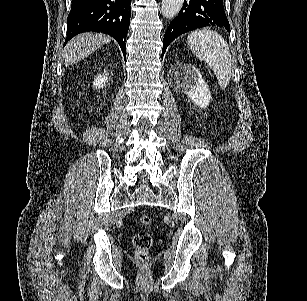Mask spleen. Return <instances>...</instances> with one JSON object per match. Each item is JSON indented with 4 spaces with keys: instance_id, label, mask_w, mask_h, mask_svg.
Masks as SVG:
<instances>
[{
    "instance_id": "obj_1",
    "label": "spleen",
    "mask_w": 307,
    "mask_h": 301,
    "mask_svg": "<svg viewBox=\"0 0 307 301\" xmlns=\"http://www.w3.org/2000/svg\"><path fill=\"white\" fill-rule=\"evenodd\" d=\"M187 42L193 54L207 62L215 72L220 88H226L230 82L232 58L228 42L216 30H193L187 36Z\"/></svg>"
}]
</instances>
